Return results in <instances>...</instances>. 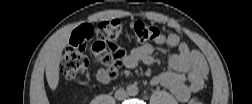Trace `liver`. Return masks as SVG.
Returning a JSON list of instances; mask_svg holds the SVG:
<instances>
[{
  "label": "liver",
  "mask_w": 252,
  "mask_h": 104,
  "mask_svg": "<svg viewBox=\"0 0 252 104\" xmlns=\"http://www.w3.org/2000/svg\"><path fill=\"white\" fill-rule=\"evenodd\" d=\"M71 29L62 31L52 42L46 58V79L50 89L55 90L59 83V64L62 51L67 46Z\"/></svg>",
  "instance_id": "liver-1"
}]
</instances>
